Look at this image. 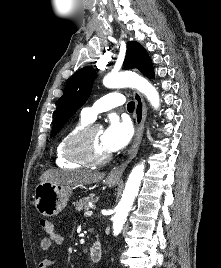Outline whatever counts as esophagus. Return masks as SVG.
<instances>
[{
  "instance_id": "1",
  "label": "esophagus",
  "mask_w": 221,
  "mask_h": 268,
  "mask_svg": "<svg viewBox=\"0 0 221 268\" xmlns=\"http://www.w3.org/2000/svg\"><path fill=\"white\" fill-rule=\"evenodd\" d=\"M133 97L135 99V111H134V118H135V137L132 143V146L129 150V157L128 159L122 163L120 166H117L111 170L109 173V178L111 179H120L122 174L128 165V163L136 156L140 143L142 141L143 133H144V125L147 116V107L144 102L142 95L134 91Z\"/></svg>"
}]
</instances>
